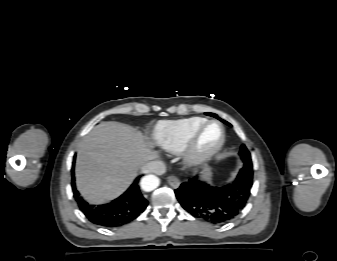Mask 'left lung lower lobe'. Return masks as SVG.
Segmentation results:
<instances>
[{
  "instance_id": "left-lung-lower-lobe-1",
  "label": "left lung lower lobe",
  "mask_w": 337,
  "mask_h": 261,
  "mask_svg": "<svg viewBox=\"0 0 337 261\" xmlns=\"http://www.w3.org/2000/svg\"><path fill=\"white\" fill-rule=\"evenodd\" d=\"M253 184V172L240 169L235 180L222 187H212L198 176L175 190L182 207L192 216L212 224L227 223L245 207Z\"/></svg>"
}]
</instances>
